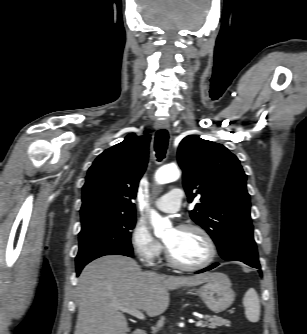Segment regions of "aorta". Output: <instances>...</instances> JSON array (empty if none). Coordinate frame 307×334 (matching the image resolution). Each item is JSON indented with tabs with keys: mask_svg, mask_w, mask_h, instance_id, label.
Returning <instances> with one entry per match:
<instances>
[{
	"mask_svg": "<svg viewBox=\"0 0 307 334\" xmlns=\"http://www.w3.org/2000/svg\"><path fill=\"white\" fill-rule=\"evenodd\" d=\"M180 171L176 166H163L155 173V181L158 184H167L178 180ZM150 220L156 237H162L172 227L167 217H162L155 210L150 211Z\"/></svg>",
	"mask_w": 307,
	"mask_h": 334,
	"instance_id": "aorta-1",
	"label": "aorta"
}]
</instances>
